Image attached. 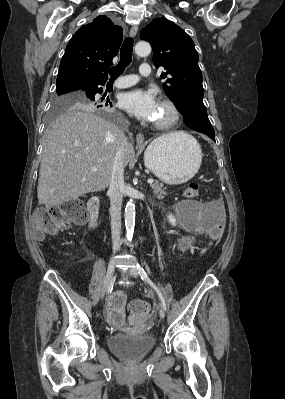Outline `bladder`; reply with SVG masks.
I'll return each mask as SVG.
<instances>
[{
    "label": "bladder",
    "mask_w": 285,
    "mask_h": 399,
    "mask_svg": "<svg viewBox=\"0 0 285 399\" xmlns=\"http://www.w3.org/2000/svg\"><path fill=\"white\" fill-rule=\"evenodd\" d=\"M194 202L183 200L178 202L179 212H184ZM155 338L148 333L136 335L111 334L108 339L110 350L125 360H136L148 355L155 346Z\"/></svg>",
    "instance_id": "31cf9c89"
}]
</instances>
